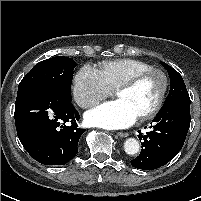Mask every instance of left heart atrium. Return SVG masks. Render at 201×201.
<instances>
[{
  "instance_id": "obj_1",
  "label": "left heart atrium",
  "mask_w": 201,
  "mask_h": 201,
  "mask_svg": "<svg viewBox=\"0 0 201 201\" xmlns=\"http://www.w3.org/2000/svg\"><path fill=\"white\" fill-rule=\"evenodd\" d=\"M139 117L121 99L104 103L85 115V121L105 129H123L133 125Z\"/></svg>"
}]
</instances>
